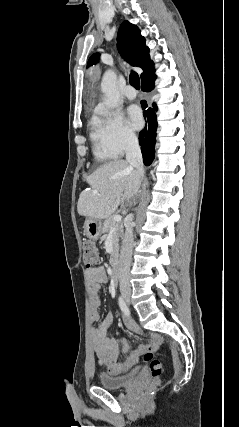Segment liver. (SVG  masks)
Here are the masks:
<instances>
[{"label": "liver", "instance_id": "6515ba94", "mask_svg": "<svg viewBox=\"0 0 239 427\" xmlns=\"http://www.w3.org/2000/svg\"><path fill=\"white\" fill-rule=\"evenodd\" d=\"M142 176L126 160H112L97 168L86 178L89 188L79 196L77 211L94 219L110 218L139 192Z\"/></svg>", "mask_w": 239, "mask_h": 427}]
</instances>
